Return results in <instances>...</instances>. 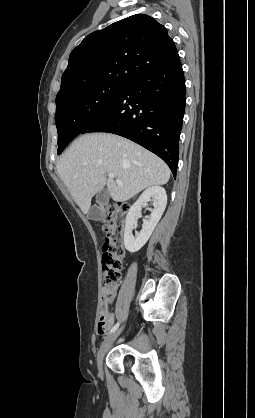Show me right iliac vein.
Masks as SVG:
<instances>
[{
  "instance_id": "1",
  "label": "right iliac vein",
  "mask_w": 255,
  "mask_h": 418,
  "mask_svg": "<svg viewBox=\"0 0 255 418\" xmlns=\"http://www.w3.org/2000/svg\"><path fill=\"white\" fill-rule=\"evenodd\" d=\"M122 330H123V327H121L120 329H118L117 331L112 333L110 336H108L103 341V343L101 344L100 349H99L98 354H97V366H98L99 372L102 371L103 360H104V357H105L107 351L109 350V348L112 345V343L114 342V340L120 335Z\"/></svg>"
}]
</instances>
